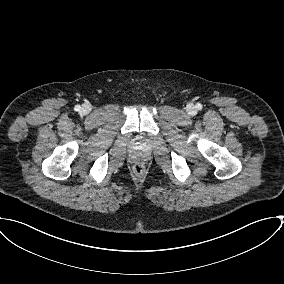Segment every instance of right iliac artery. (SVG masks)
<instances>
[{"label":"right iliac artery","mask_w":284,"mask_h":284,"mask_svg":"<svg viewBox=\"0 0 284 284\" xmlns=\"http://www.w3.org/2000/svg\"><path fill=\"white\" fill-rule=\"evenodd\" d=\"M80 109H81V106H80V105H76V106H75V110H76V111H79Z\"/></svg>","instance_id":"82829eb1"}]
</instances>
